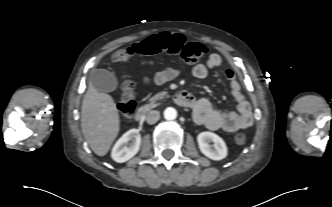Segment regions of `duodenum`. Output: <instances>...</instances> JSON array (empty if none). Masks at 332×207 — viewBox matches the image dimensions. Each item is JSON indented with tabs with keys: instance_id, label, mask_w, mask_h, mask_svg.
Segmentation results:
<instances>
[{
	"instance_id": "410a0bca",
	"label": "duodenum",
	"mask_w": 332,
	"mask_h": 207,
	"mask_svg": "<svg viewBox=\"0 0 332 207\" xmlns=\"http://www.w3.org/2000/svg\"><path fill=\"white\" fill-rule=\"evenodd\" d=\"M174 101L177 105L181 107H192L194 105L195 99L194 96L187 91H180L175 95ZM151 107L149 105L142 106L135 113V120L142 121L145 119L146 115L150 112Z\"/></svg>"
}]
</instances>
